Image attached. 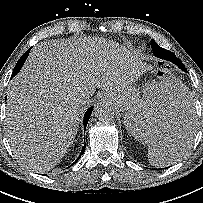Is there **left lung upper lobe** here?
Wrapping results in <instances>:
<instances>
[{
	"mask_svg": "<svg viewBox=\"0 0 203 203\" xmlns=\"http://www.w3.org/2000/svg\"><path fill=\"white\" fill-rule=\"evenodd\" d=\"M151 47L153 48V50L157 49L158 44L154 41V40H151ZM181 62V61H180ZM182 63V62H181ZM184 66V65H183Z\"/></svg>",
	"mask_w": 203,
	"mask_h": 203,
	"instance_id": "left-lung-upper-lobe-1",
	"label": "left lung upper lobe"
}]
</instances>
